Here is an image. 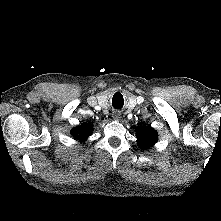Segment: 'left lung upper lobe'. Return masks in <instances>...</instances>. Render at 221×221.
<instances>
[{
	"instance_id": "obj_1",
	"label": "left lung upper lobe",
	"mask_w": 221,
	"mask_h": 221,
	"mask_svg": "<svg viewBox=\"0 0 221 221\" xmlns=\"http://www.w3.org/2000/svg\"><path fill=\"white\" fill-rule=\"evenodd\" d=\"M137 132V144L141 149H147L153 144H155L157 140V132L151 128L150 126L146 128H136Z\"/></svg>"
}]
</instances>
